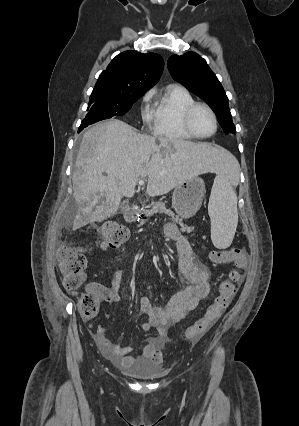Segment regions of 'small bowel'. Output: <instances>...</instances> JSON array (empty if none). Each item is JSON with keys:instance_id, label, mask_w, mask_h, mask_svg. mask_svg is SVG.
<instances>
[{"instance_id": "1", "label": "small bowel", "mask_w": 299, "mask_h": 426, "mask_svg": "<svg viewBox=\"0 0 299 426\" xmlns=\"http://www.w3.org/2000/svg\"><path fill=\"white\" fill-rule=\"evenodd\" d=\"M164 232L168 239L175 242L178 255L177 272L182 289L174 294L165 306L158 307L152 304L151 287L147 286V294L140 298L141 312L147 317L141 328L144 331H154L155 335L146 339V345L139 354L131 355L133 348L112 343L103 327L97 326L93 331L104 357L121 368L137 364H160L163 361L162 350L170 326L182 320L209 293L210 271L195 262L188 239L173 224H167ZM120 277V271L114 269L109 286L92 284L89 288L96 291L108 305H115L120 299Z\"/></svg>"}]
</instances>
